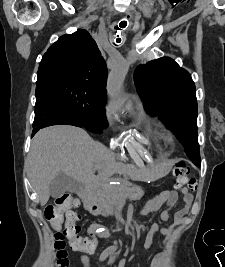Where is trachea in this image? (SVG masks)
<instances>
[{"label":"trachea","mask_w":225,"mask_h":267,"mask_svg":"<svg viewBox=\"0 0 225 267\" xmlns=\"http://www.w3.org/2000/svg\"><path fill=\"white\" fill-rule=\"evenodd\" d=\"M127 26V21H121L120 23H119V27L121 28V29H123V28H125ZM117 29H119L118 27H116ZM118 43L120 42V41H117Z\"/></svg>","instance_id":"obj_1"}]
</instances>
